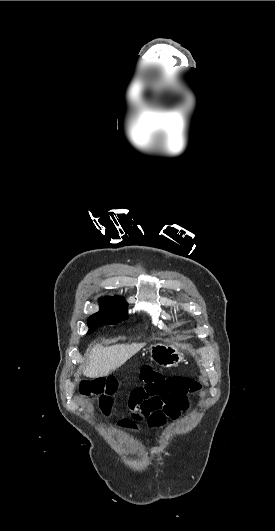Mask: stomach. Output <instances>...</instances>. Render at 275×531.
<instances>
[{"mask_svg":"<svg viewBox=\"0 0 275 531\" xmlns=\"http://www.w3.org/2000/svg\"><path fill=\"white\" fill-rule=\"evenodd\" d=\"M144 361H154L160 367H177L185 359L181 345L177 343H154L150 350H144Z\"/></svg>","mask_w":275,"mask_h":531,"instance_id":"0dacf381","label":"stomach"}]
</instances>
